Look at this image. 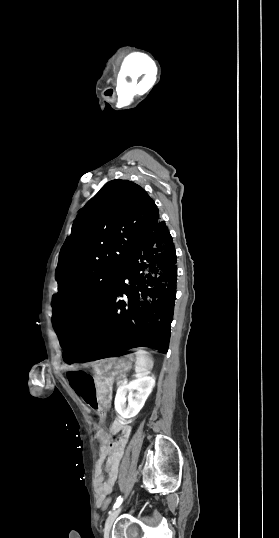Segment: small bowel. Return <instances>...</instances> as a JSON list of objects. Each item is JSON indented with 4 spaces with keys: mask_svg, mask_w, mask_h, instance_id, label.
<instances>
[{
    "mask_svg": "<svg viewBox=\"0 0 279 538\" xmlns=\"http://www.w3.org/2000/svg\"><path fill=\"white\" fill-rule=\"evenodd\" d=\"M68 382L74 393L96 413L99 421L102 422L105 418V409L97 399L94 378L84 371H74L69 373ZM131 432L132 428L130 425L122 424L118 421L112 424L108 432L101 427L100 423L96 426V438L100 442L97 462V493L100 503L113 491L118 478L119 463ZM117 433L119 435L115 441H110L109 435ZM104 463L107 473L106 477H104L102 470Z\"/></svg>",
    "mask_w": 279,
    "mask_h": 538,
    "instance_id": "obj_1",
    "label": "small bowel"
}]
</instances>
